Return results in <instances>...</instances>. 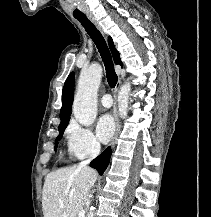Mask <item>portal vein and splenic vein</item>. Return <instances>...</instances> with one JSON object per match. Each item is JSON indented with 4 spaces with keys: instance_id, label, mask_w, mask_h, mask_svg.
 Here are the masks:
<instances>
[{
    "instance_id": "18ae733b",
    "label": "portal vein and splenic vein",
    "mask_w": 211,
    "mask_h": 217,
    "mask_svg": "<svg viewBox=\"0 0 211 217\" xmlns=\"http://www.w3.org/2000/svg\"><path fill=\"white\" fill-rule=\"evenodd\" d=\"M79 217H85V211L84 210H81L79 212Z\"/></svg>"
}]
</instances>
